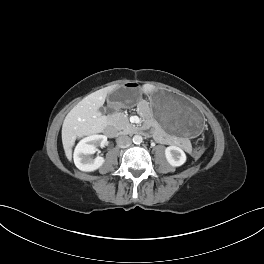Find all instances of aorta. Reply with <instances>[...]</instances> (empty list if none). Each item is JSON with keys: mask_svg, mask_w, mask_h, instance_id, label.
Masks as SVG:
<instances>
[{"mask_svg": "<svg viewBox=\"0 0 264 264\" xmlns=\"http://www.w3.org/2000/svg\"><path fill=\"white\" fill-rule=\"evenodd\" d=\"M142 141H143V138L140 135H135L133 137V143H135V144H140V143H142Z\"/></svg>", "mask_w": 264, "mask_h": 264, "instance_id": "762f6f07", "label": "aorta"}]
</instances>
